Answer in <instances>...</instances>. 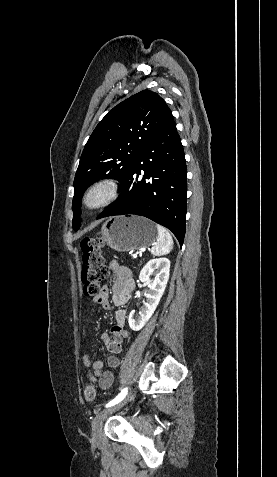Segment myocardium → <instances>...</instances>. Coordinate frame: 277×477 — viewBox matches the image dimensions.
<instances>
[{
    "mask_svg": "<svg viewBox=\"0 0 277 477\" xmlns=\"http://www.w3.org/2000/svg\"><path fill=\"white\" fill-rule=\"evenodd\" d=\"M118 196V182L113 178H100L87 187L81 205L86 211L94 212L109 206Z\"/></svg>",
    "mask_w": 277,
    "mask_h": 477,
    "instance_id": "obj_1",
    "label": "myocardium"
}]
</instances>
